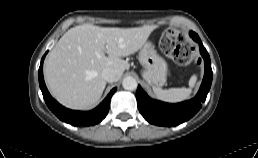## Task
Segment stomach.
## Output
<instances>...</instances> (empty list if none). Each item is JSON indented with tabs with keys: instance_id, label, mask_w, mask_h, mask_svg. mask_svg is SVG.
Wrapping results in <instances>:
<instances>
[{
	"instance_id": "stomach-1",
	"label": "stomach",
	"mask_w": 258,
	"mask_h": 158,
	"mask_svg": "<svg viewBox=\"0 0 258 158\" xmlns=\"http://www.w3.org/2000/svg\"><path fill=\"white\" fill-rule=\"evenodd\" d=\"M139 62L143 67L142 77L150 85L163 86L167 77V64L165 60L157 54L154 46L146 42L139 52Z\"/></svg>"
}]
</instances>
